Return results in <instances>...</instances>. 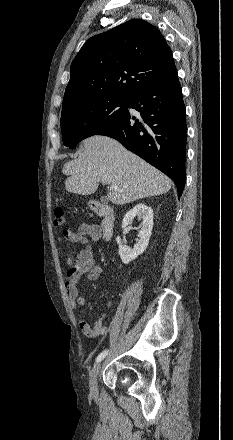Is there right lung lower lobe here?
<instances>
[{
	"label": "right lung lower lobe",
	"mask_w": 233,
	"mask_h": 440,
	"mask_svg": "<svg viewBox=\"0 0 233 440\" xmlns=\"http://www.w3.org/2000/svg\"><path fill=\"white\" fill-rule=\"evenodd\" d=\"M128 108L140 112L141 120ZM99 135L118 140L125 148L170 177L181 196L185 186L187 126L182 89L176 69L165 78L135 92L122 117Z\"/></svg>",
	"instance_id": "1"
}]
</instances>
